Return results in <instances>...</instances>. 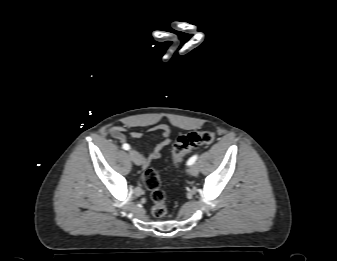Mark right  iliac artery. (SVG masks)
Masks as SVG:
<instances>
[{
	"mask_svg": "<svg viewBox=\"0 0 337 261\" xmlns=\"http://www.w3.org/2000/svg\"><path fill=\"white\" fill-rule=\"evenodd\" d=\"M122 147H123L124 150H129L130 149V146L128 144H123Z\"/></svg>",
	"mask_w": 337,
	"mask_h": 261,
	"instance_id": "obj_1",
	"label": "right iliac artery"
}]
</instances>
